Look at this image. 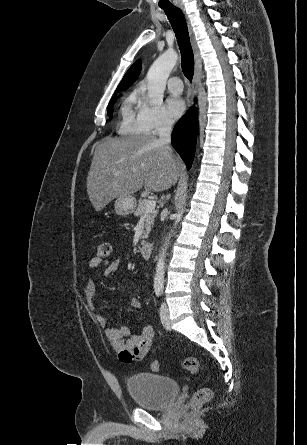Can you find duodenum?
Segmentation results:
<instances>
[{"instance_id":"410a0bca","label":"duodenum","mask_w":307,"mask_h":445,"mask_svg":"<svg viewBox=\"0 0 307 445\" xmlns=\"http://www.w3.org/2000/svg\"><path fill=\"white\" fill-rule=\"evenodd\" d=\"M153 251V245L151 243H144L140 247V254L144 258H149Z\"/></svg>"}]
</instances>
